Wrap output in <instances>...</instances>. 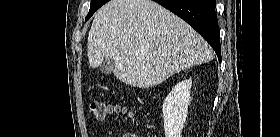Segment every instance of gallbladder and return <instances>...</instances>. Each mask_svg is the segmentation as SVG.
I'll use <instances>...</instances> for the list:
<instances>
[{
  "label": "gallbladder",
  "instance_id": "gallbladder-1",
  "mask_svg": "<svg viewBox=\"0 0 280 137\" xmlns=\"http://www.w3.org/2000/svg\"><path fill=\"white\" fill-rule=\"evenodd\" d=\"M115 68V61L111 57H105L100 65V71L103 74L109 75L113 73V70Z\"/></svg>",
  "mask_w": 280,
  "mask_h": 137
}]
</instances>
